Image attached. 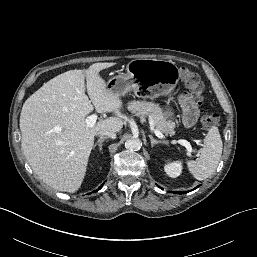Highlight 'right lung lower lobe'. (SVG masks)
I'll list each match as a JSON object with an SVG mask.
<instances>
[{
    "mask_svg": "<svg viewBox=\"0 0 257 257\" xmlns=\"http://www.w3.org/2000/svg\"><path fill=\"white\" fill-rule=\"evenodd\" d=\"M102 188V186H100L95 192H97L98 190H100Z\"/></svg>",
    "mask_w": 257,
    "mask_h": 257,
    "instance_id": "obj_1",
    "label": "right lung lower lobe"
}]
</instances>
